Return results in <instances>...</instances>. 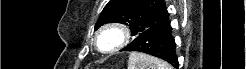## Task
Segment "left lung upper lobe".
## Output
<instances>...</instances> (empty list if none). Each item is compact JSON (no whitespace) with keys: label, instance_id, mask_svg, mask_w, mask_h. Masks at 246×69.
I'll list each match as a JSON object with an SVG mask.
<instances>
[{"label":"left lung upper lobe","instance_id":"left-lung-upper-lobe-1","mask_svg":"<svg viewBox=\"0 0 246 69\" xmlns=\"http://www.w3.org/2000/svg\"><path fill=\"white\" fill-rule=\"evenodd\" d=\"M169 13L163 0H110L101 12L95 30L105 23L129 25L132 35L167 22Z\"/></svg>","mask_w":246,"mask_h":69}]
</instances>
